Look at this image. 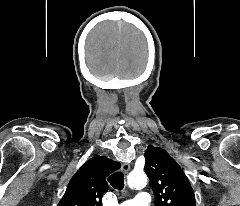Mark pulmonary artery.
Here are the masks:
<instances>
[{
  "label": "pulmonary artery",
  "mask_w": 240,
  "mask_h": 206,
  "mask_svg": "<svg viewBox=\"0 0 240 206\" xmlns=\"http://www.w3.org/2000/svg\"><path fill=\"white\" fill-rule=\"evenodd\" d=\"M150 196L147 192H139L133 199L120 203L119 206H149Z\"/></svg>",
  "instance_id": "pulmonary-artery-1"
}]
</instances>
